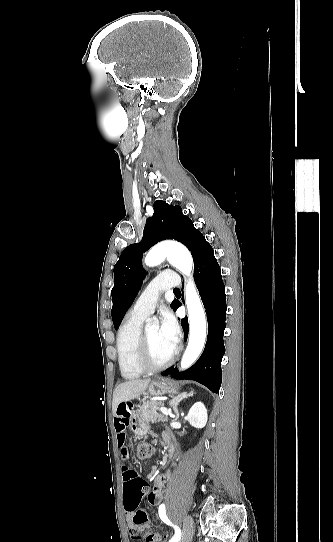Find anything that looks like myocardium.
Here are the masks:
<instances>
[{
  "instance_id": "obj_1",
  "label": "myocardium",
  "mask_w": 333,
  "mask_h": 542,
  "mask_svg": "<svg viewBox=\"0 0 333 542\" xmlns=\"http://www.w3.org/2000/svg\"><path fill=\"white\" fill-rule=\"evenodd\" d=\"M180 347L177 346L173 354L164 362L155 363L150 358L149 345L146 331L141 332L135 350V362L137 367L146 373L158 372L172 365L179 355Z\"/></svg>"
}]
</instances>
